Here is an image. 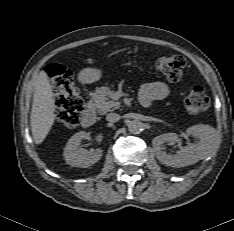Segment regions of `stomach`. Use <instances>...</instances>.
<instances>
[{
    "instance_id": "1",
    "label": "stomach",
    "mask_w": 234,
    "mask_h": 231,
    "mask_svg": "<svg viewBox=\"0 0 234 231\" xmlns=\"http://www.w3.org/2000/svg\"><path fill=\"white\" fill-rule=\"evenodd\" d=\"M102 77V71L96 68H86L79 73V79L83 83H93L100 80Z\"/></svg>"
}]
</instances>
